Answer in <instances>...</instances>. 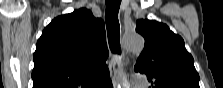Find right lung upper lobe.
<instances>
[{
  "instance_id": "1",
  "label": "right lung upper lobe",
  "mask_w": 223,
  "mask_h": 88,
  "mask_svg": "<svg viewBox=\"0 0 223 88\" xmlns=\"http://www.w3.org/2000/svg\"><path fill=\"white\" fill-rule=\"evenodd\" d=\"M105 28L88 9L59 16L43 30L33 56V88H97L109 78Z\"/></svg>"
}]
</instances>
